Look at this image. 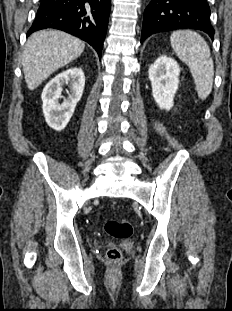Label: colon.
<instances>
[{
  "instance_id": "5ec220e1",
  "label": "colon",
  "mask_w": 232,
  "mask_h": 311,
  "mask_svg": "<svg viewBox=\"0 0 232 311\" xmlns=\"http://www.w3.org/2000/svg\"><path fill=\"white\" fill-rule=\"evenodd\" d=\"M104 229L109 236L117 239L129 238L133 231L131 223L125 219H109L105 222ZM122 257L123 254L119 248L113 247L106 251V259L110 263H118Z\"/></svg>"
}]
</instances>
